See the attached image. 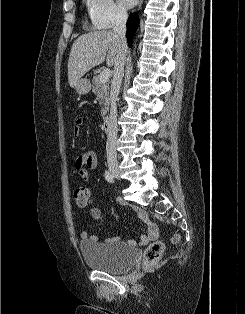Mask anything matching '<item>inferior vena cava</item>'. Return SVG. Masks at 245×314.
Wrapping results in <instances>:
<instances>
[{"label":"inferior vena cava","mask_w":245,"mask_h":314,"mask_svg":"<svg viewBox=\"0 0 245 314\" xmlns=\"http://www.w3.org/2000/svg\"><path fill=\"white\" fill-rule=\"evenodd\" d=\"M127 12L125 10L117 11L115 15V23L113 32L120 44L119 54L114 64V74L111 85V108H110V123L108 127V137L106 144V153L108 161H117V97L120 91L122 79L124 76L125 57L127 54V41L125 37Z\"/></svg>","instance_id":"inferior-vena-cava-1"}]
</instances>
